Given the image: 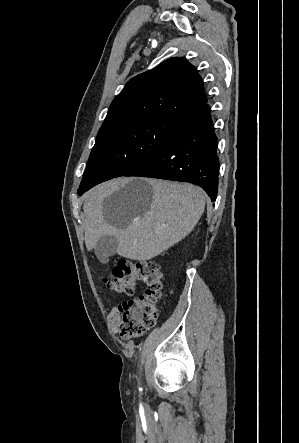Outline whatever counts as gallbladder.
Listing matches in <instances>:
<instances>
[{"label": "gallbladder", "instance_id": "1", "mask_svg": "<svg viewBox=\"0 0 299 443\" xmlns=\"http://www.w3.org/2000/svg\"><path fill=\"white\" fill-rule=\"evenodd\" d=\"M117 247L118 241L115 237L102 236L94 248L95 255L100 262L104 263L109 257L115 255Z\"/></svg>", "mask_w": 299, "mask_h": 443}]
</instances>
